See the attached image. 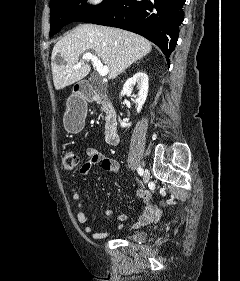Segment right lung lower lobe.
Masks as SVG:
<instances>
[{
    "label": "right lung lower lobe",
    "mask_w": 240,
    "mask_h": 281,
    "mask_svg": "<svg viewBox=\"0 0 240 281\" xmlns=\"http://www.w3.org/2000/svg\"><path fill=\"white\" fill-rule=\"evenodd\" d=\"M184 3L185 0H118L110 11L91 23L144 36L162 50L169 63L184 20Z\"/></svg>",
    "instance_id": "right-lung-lower-lobe-1"
}]
</instances>
